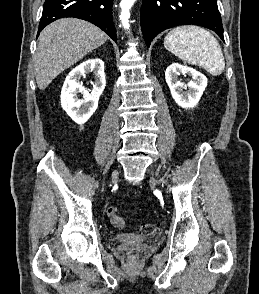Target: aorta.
I'll return each instance as SVG.
<instances>
[{"label":"aorta","mask_w":259,"mask_h":294,"mask_svg":"<svg viewBox=\"0 0 259 294\" xmlns=\"http://www.w3.org/2000/svg\"><path fill=\"white\" fill-rule=\"evenodd\" d=\"M136 0H121L120 2V8H121V14H120V20L122 22V26L124 29L129 30V18H130V9L135 3Z\"/></svg>","instance_id":"762f6f07"}]
</instances>
